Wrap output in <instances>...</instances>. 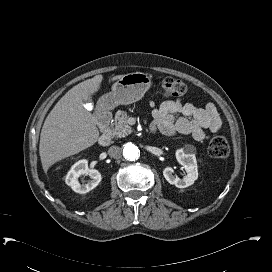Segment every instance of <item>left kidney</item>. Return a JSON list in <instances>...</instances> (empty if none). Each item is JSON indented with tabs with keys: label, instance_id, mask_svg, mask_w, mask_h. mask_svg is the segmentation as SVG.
Here are the masks:
<instances>
[{
	"label": "left kidney",
	"instance_id": "1",
	"mask_svg": "<svg viewBox=\"0 0 272 272\" xmlns=\"http://www.w3.org/2000/svg\"><path fill=\"white\" fill-rule=\"evenodd\" d=\"M195 148L193 146H187L176 151V159L182 168L187 172V175L180 179L174 175L172 167L167 166L163 170L164 178L178 188H186L191 186L198 178L197 161L195 157Z\"/></svg>",
	"mask_w": 272,
	"mask_h": 272
}]
</instances>
